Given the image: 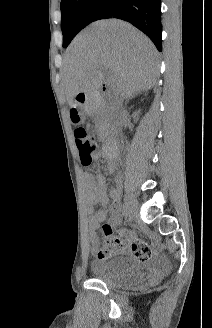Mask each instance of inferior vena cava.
Segmentation results:
<instances>
[{"instance_id":"obj_1","label":"inferior vena cava","mask_w":212,"mask_h":328,"mask_svg":"<svg viewBox=\"0 0 212 328\" xmlns=\"http://www.w3.org/2000/svg\"><path fill=\"white\" fill-rule=\"evenodd\" d=\"M122 105H123V98L120 96V99L117 101V114L118 115H123L124 111L122 110Z\"/></svg>"}]
</instances>
